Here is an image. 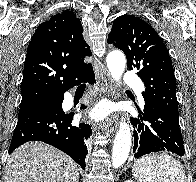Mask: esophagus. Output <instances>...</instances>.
I'll return each mask as SVG.
<instances>
[{"label": "esophagus", "mask_w": 196, "mask_h": 182, "mask_svg": "<svg viewBox=\"0 0 196 182\" xmlns=\"http://www.w3.org/2000/svg\"><path fill=\"white\" fill-rule=\"evenodd\" d=\"M99 78L101 80L102 91L108 96L113 97L112 80L108 70L105 68L100 69ZM116 119V115H113V117L107 119L101 126L102 130L105 132H113L115 129Z\"/></svg>", "instance_id": "obj_1"}]
</instances>
